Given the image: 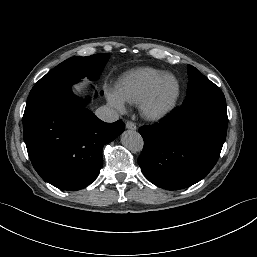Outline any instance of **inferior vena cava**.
Masks as SVG:
<instances>
[{"label":"inferior vena cava","mask_w":257,"mask_h":257,"mask_svg":"<svg viewBox=\"0 0 257 257\" xmlns=\"http://www.w3.org/2000/svg\"><path fill=\"white\" fill-rule=\"evenodd\" d=\"M95 114L99 119L108 123L115 122L119 119V113L109 106L99 107L95 111Z\"/></svg>","instance_id":"602c4592"}]
</instances>
